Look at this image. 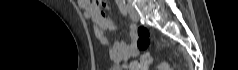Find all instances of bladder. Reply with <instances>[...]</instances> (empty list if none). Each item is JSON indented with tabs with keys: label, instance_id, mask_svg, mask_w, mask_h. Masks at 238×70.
Masks as SVG:
<instances>
[{
	"label": "bladder",
	"instance_id": "1",
	"mask_svg": "<svg viewBox=\"0 0 238 70\" xmlns=\"http://www.w3.org/2000/svg\"><path fill=\"white\" fill-rule=\"evenodd\" d=\"M110 70H123L121 67H112Z\"/></svg>",
	"mask_w": 238,
	"mask_h": 70
}]
</instances>
